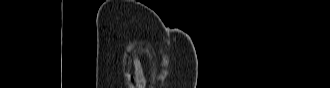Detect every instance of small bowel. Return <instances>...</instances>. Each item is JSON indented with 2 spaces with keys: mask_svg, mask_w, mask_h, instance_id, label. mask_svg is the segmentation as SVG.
Listing matches in <instances>:
<instances>
[{
  "mask_svg": "<svg viewBox=\"0 0 330 88\" xmlns=\"http://www.w3.org/2000/svg\"><path fill=\"white\" fill-rule=\"evenodd\" d=\"M134 66L136 68H138L140 66V62H139L138 58H135V60H134Z\"/></svg>",
  "mask_w": 330,
  "mask_h": 88,
  "instance_id": "1",
  "label": "small bowel"
}]
</instances>
